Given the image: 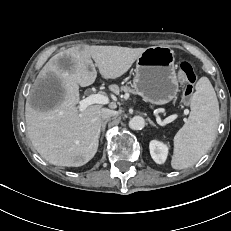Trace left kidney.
Segmentation results:
<instances>
[{
    "label": "left kidney",
    "instance_id": "5707ae66",
    "mask_svg": "<svg viewBox=\"0 0 231 231\" xmlns=\"http://www.w3.org/2000/svg\"><path fill=\"white\" fill-rule=\"evenodd\" d=\"M150 154L152 159L158 163L163 164L168 155V146L160 141L152 140L149 144Z\"/></svg>",
    "mask_w": 231,
    "mask_h": 231
}]
</instances>
